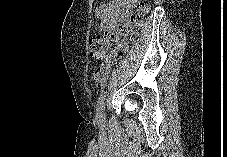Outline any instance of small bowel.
<instances>
[{
  "label": "small bowel",
  "instance_id": "1",
  "mask_svg": "<svg viewBox=\"0 0 227 157\" xmlns=\"http://www.w3.org/2000/svg\"><path fill=\"white\" fill-rule=\"evenodd\" d=\"M138 0H110L96 9L100 28L111 41H118L127 28Z\"/></svg>",
  "mask_w": 227,
  "mask_h": 157
}]
</instances>
